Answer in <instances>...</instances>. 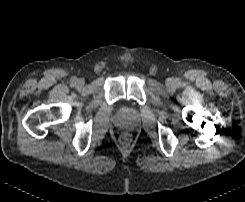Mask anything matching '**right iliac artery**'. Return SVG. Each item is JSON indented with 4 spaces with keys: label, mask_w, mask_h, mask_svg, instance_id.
Instances as JSON below:
<instances>
[{
    "label": "right iliac artery",
    "mask_w": 245,
    "mask_h": 202,
    "mask_svg": "<svg viewBox=\"0 0 245 202\" xmlns=\"http://www.w3.org/2000/svg\"><path fill=\"white\" fill-rule=\"evenodd\" d=\"M71 81H72L73 83H75V82H76V78H75V77H72V78H71Z\"/></svg>",
    "instance_id": "82829eb1"
}]
</instances>
